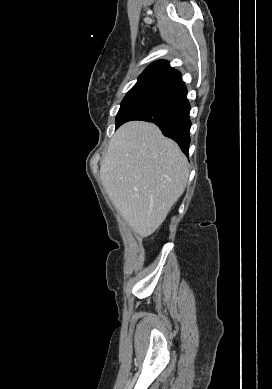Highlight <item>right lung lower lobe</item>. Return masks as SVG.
<instances>
[{
  "label": "right lung lower lobe",
  "instance_id": "1",
  "mask_svg": "<svg viewBox=\"0 0 272 389\" xmlns=\"http://www.w3.org/2000/svg\"><path fill=\"white\" fill-rule=\"evenodd\" d=\"M189 113L187 89L182 79H179L163 86L132 108L116 129L131 120L152 122L159 126L164 136L176 141L188 156L191 127Z\"/></svg>",
  "mask_w": 272,
  "mask_h": 389
}]
</instances>
